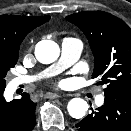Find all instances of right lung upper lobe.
Listing matches in <instances>:
<instances>
[{
    "label": "right lung upper lobe",
    "instance_id": "cb5924a9",
    "mask_svg": "<svg viewBox=\"0 0 131 131\" xmlns=\"http://www.w3.org/2000/svg\"><path fill=\"white\" fill-rule=\"evenodd\" d=\"M49 19V16L1 15L0 47L18 48L29 32Z\"/></svg>",
    "mask_w": 131,
    "mask_h": 131
}]
</instances>
